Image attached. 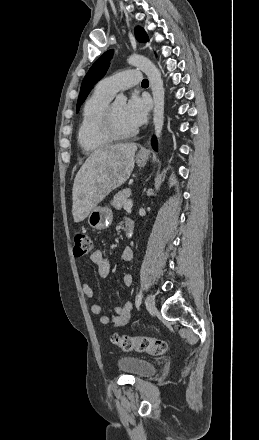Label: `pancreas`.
<instances>
[{"mask_svg": "<svg viewBox=\"0 0 259 440\" xmlns=\"http://www.w3.org/2000/svg\"><path fill=\"white\" fill-rule=\"evenodd\" d=\"M131 195L130 189H123L119 191L112 200V206L116 210H121L122 207H124L125 203L129 201V196Z\"/></svg>", "mask_w": 259, "mask_h": 440, "instance_id": "pancreas-1", "label": "pancreas"}]
</instances>
